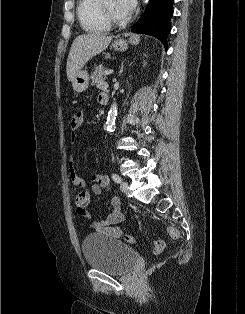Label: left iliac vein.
Here are the masks:
<instances>
[{
  "label": "left iliac vein",
  "instance_id": "1",
  "mask_svg": "<svg viewBox=\"0 0 245 314\" xmlns=\"http://www.w3.org/2000/svg\"><path fill=\"white\" fill-rule=\"evenodd\" d=\"M128 188H129V185H128L127 182L122 181L120 183V189H121L122 192L127 193L128 192Z\"/></svg>",
  "mask_w": 245,
  "mask_h": 314
}]
</instances>
